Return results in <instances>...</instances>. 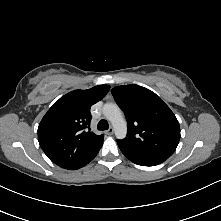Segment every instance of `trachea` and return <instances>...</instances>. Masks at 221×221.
Listing matches in <instances>:
<instances>
[{"label": "trachea", "mask_w": 221, "mask_h": 221, "mask_svg": "<svg viewBox=\"0 0 221 221\" xmlns=\"http://www.w3.org/2000/svg\"><path fill=\"white\" fill-rule=\"evenodd\" d=\"M97 128L98 130H107L109 128V124L106 120H100Z\"/></svg>", "instance_id": "obj_1"}]
</instances>
